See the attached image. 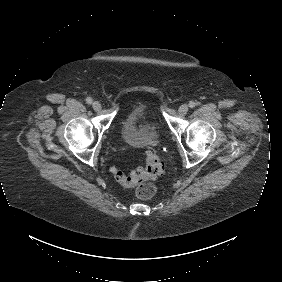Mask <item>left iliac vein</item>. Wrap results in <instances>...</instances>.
<instances>
[{
  "mask_svg": "<svg viewBox=\"0 0 282 282\" xmlns=\"http://www.w3.org/2000/svg\"><path fill=\"white\" fill-rule=\"evenodd\" d=\"M188 110H189L188 105L183 104L179 107L178 113L183 116V115L187 114Z\"/></svg>",
  "mask_w": 282,
  "mask_h": 282,
  "instance_id": "left-iliac-vein-1",
  "label": "left iliac vein"
}]
</instances>
